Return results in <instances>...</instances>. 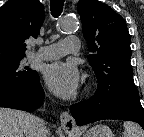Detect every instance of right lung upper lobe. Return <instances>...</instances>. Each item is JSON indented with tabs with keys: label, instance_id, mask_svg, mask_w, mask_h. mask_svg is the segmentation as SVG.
<instances>
[{
	"label": "right lung upper lobe",
	"instance_id": "obj_1",
	"mask_svg": "<svg viewBox=\"0 0 144 137\" xmlns=\"http://www.w3.org/2000/svg\"><path fill=\"white\" fill-rule=\"evenodd\" d=\"M43 21L38 0H8L0 8V66L24 58L25 40L39 35Z\"/></svg>",
	"mask_w": 144,
	"mask_h": 137
}]
</instances>
